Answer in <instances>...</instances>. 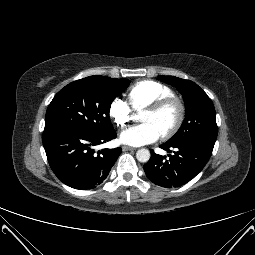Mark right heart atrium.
I'll return each instance as SVG.
<instances>
[{
  "instance_id": "obj_1",
  "label": "right heart atrium",
  "mask_w": 255,
  "mask_h": 255,
  "mask_svg": "<svg viewBox=\"0 0 255 255\" xmlns=\"http://www.w3.org/2000/svg\"><path fill=\"white\" fill-rule=\"evenodd\" d=\"M109 116L116 126L123 128L130 123L132 110L124 100L115 98L109 105Z\"/></svg>"
}]
</instances>
